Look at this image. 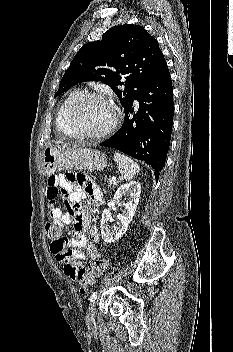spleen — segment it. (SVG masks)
I'll use <instances>...</instances> for the list:
<instances>
[{
	"instance_id": "3e777b00",
	"label": "spleen",
	"mask_w": 233,
	"mask_h": 352,
	"mask_svg": "<svg viewBox=\"0 0 233 352\" xmlns=\"http://www.w3.org/2000/svg\"><path fill=\"white\" fill-rule=\"evenodd\" d=\"M114 161L118 165L119 171L126 181L131 180L140 170L138 164L133 159L121 153H115Z\"/></svg>"
}]
</instances>
